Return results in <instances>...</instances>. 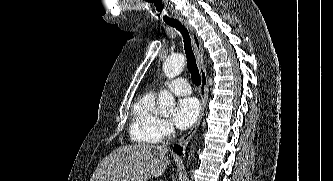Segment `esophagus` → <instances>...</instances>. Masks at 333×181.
Segmentation results:
<instances>
[{
    "instance_id": "34e87169",
    "label": "esophagus",
    "mask_w": 333,
    "mask_h": 181,
    "mask_svg": "<svg viewBox=\"0 0 333 181\" xmlns=\"http://www.w3.org/2000/svg\"><path fill=\"white\" fill-rule=\"evenodd\" d=\"M180 21L185 25V27L189 31L191 39H192V43H193V47H194V51H195V57H196L197 65L199 68V73L201 76L200 94H201V98H202L201 112L198 117V120L193 125V127L185 135H183L178 141V143L182 145V144L187 143L191 139V137L195 134L198 126L200 125L201 119L204 114V110L206 108L208 93H207V74H206V69H205L204 63H203L204 50L202 47L201 39L198 37L195 29L189 24V22L187 20L180 18Z\"/></svg>"
}]
</instances>
